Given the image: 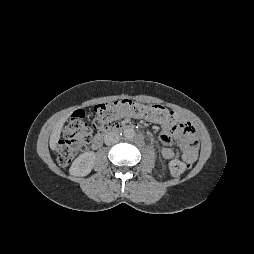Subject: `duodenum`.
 <instances>
[{
  "label": "duodenum",
  "mask_w": 254,
  "mask_h": 254,
  "mask_svg": "<svg viewBox=\"0 0 254 254\" xmlns=\"http://www.w3.org/2000/svg\"><path fill=\"white\" fill-rule=\"evenodd\" d=\"M133 125H128L124 123H116L113 125H110L103 130H101L92 140L91 146L95 149L99 148L102 145L103 139L106 135L112 133V132H120L125 130H133Z\"/></svg>",
  "instance_id": "obj_1"
}]
</instances>
